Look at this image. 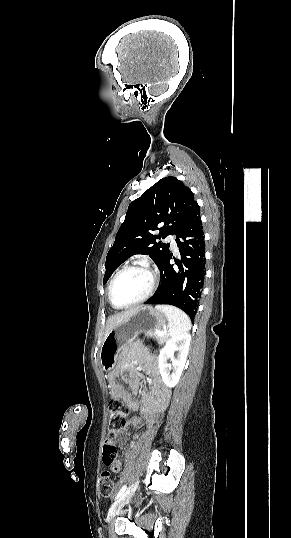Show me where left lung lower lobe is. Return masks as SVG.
I'll return each mask as SVG.
<instances>
[{"label":"left lung lower lobe","instance_id":"left-lung-lower-lobe-1","mask_svg":"<svg viewBox=\"0 0 291 538\" xmlns=\"http://www.w3.org/2000/svg\"><path fill=\"white\" fill-rule=\"evenodd\" d=\"M175 235L180 252V260H175L177 267L169 263L172 258L169 251L159 267L161 283L155 294L144 304L176 306L187 314L190 313L189 316L193 321L205 276V244L199 209Z\"/></svg>","mask_w":291,"mask_h":538}]
</instances>
